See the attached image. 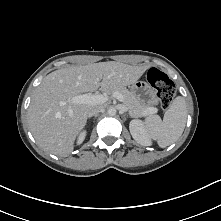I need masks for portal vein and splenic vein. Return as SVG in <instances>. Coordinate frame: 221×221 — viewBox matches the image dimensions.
<instances>
[{"label": "portal vein and splenic vein", "mask_w": 221, "mask_h": 221, "mask_svg": "<svg viewBox=\"0 0 221 221\" xmlns=\"http://www.w3.org/2000/svg\"><path fill=\"white\" fill-rule=\"evenodd\" d=\"M113 97H115L120 102L124 101V97L118 92H114ZM107 101H108V96L102 95V94L92 95V94L88 93V94L74 96L72 98L73 103L90 104V105L103 104ZM156 111H157L156 108L150 107L147 111H145L144 114H146V115L148 113L153 114ZM70 113H72L71 110H70Z\"/></svg>", "instance_id": "portal-vein-and-splenic-vein-1"}]
</instances>
